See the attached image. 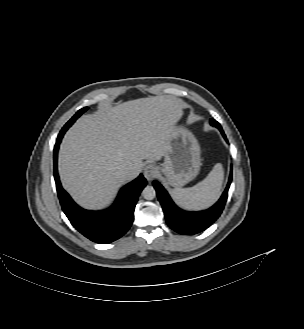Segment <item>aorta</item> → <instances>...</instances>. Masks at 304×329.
Masks as SVG:
<instances>
[{
    "label": "aorta",
    "mask_w": 304,
    "mask_h": 329,
    "mask_svg": "<svg viewBox=\"0 0 304 329\" xmlns=\"http://www.w3.org/2000/svg\"><path fill=\"white\" fill-rule=\"evenodd\" d=\"M142 196L146 200H152L156 196L155 189L152 186H146L142 191Z\"/></svg>",
    "instance_id": "762f6f07"
}]
</instances>
